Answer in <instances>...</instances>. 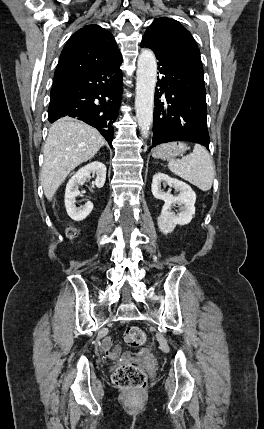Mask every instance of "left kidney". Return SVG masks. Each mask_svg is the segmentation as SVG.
<instances>
[{"label":"left kidney","mask_w":264,"mask_h":429,"mask_svg":"<svg viewBox=\"0 0 264 429\" xmlns=\"http://www.w3.org/2000/svg\"><path fill=\"white\" fill-rule=\"evenodd\" d=\"M161 183L173 187L179 191L177 196H173L170 192H164L160 189ZM151 191L156 199L165 202L161 214L158 217V227L164 234L173 232L176 225H186L191 222L195 214L196 194L192 188L175 178H171L167 174L157 173L153 176ZM172 204L180 206V212L175 214L171 210Z\"/></svg>","instance_id":"obj_1"}]
</instances>
